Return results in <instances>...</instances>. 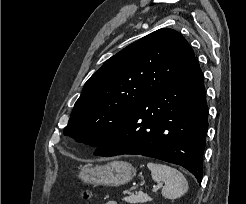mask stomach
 Segmentation results:
<instances>
[{
    "instance_id": "obj_1",
    "label": "stomach",
    "mask_w": 246,
    "mask_h": 204,
    "mask_svg": "<svg viewBox=\"0 0 246 204\" xmlns=\"http://www.w3.org/2000/svg\"><path fill=\"white\" fill-rule=\"evenodd\" d=\"M135 168L126 161H112L106 165H86L80 168L78 177L87 184L120 186L131 181Z\"/></svg>"
}]
</instances>
